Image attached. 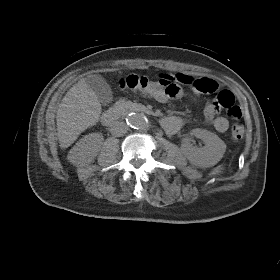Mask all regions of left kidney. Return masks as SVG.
Listing matches in <instances>:
<instances>
[{"mask_svg":"<svg viewBox=\"0 0 280 280\" xmlns=\"http://www.w3.org/2000/svg\"><path fill=\"white\" fill-rule=\"evenodd\" d=\"M205 142L203 148L193 146L189 139H184L182 150L194 165H203L218 160L226 148L225 143L214 133L202 129H193L190 133Z\"/></svg>","mask_w":280,"mask_h":280,"instance_id":"1","label":"left kidney"}]
</instances>
